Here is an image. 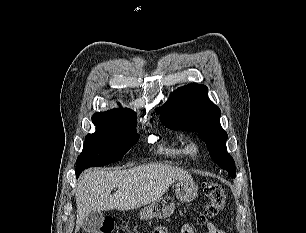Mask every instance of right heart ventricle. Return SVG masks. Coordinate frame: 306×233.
Returning a JSON list of instances; mask_svg holds the SVG:
<instances>
[{"label":"right heart ventricle","mask_w":306,"mask_h":233,"mask_svg":"<svg viewBox=\"0 0 306 233\" xmlns=\"http://www.w3.org/2000/svg\"><path fill=\"white\" fill-rule=\"evenodd\" d=\"M160 150L174 156H181L186 152V149L183 144H179L176 146H162Z\"/></svg>","instance_id":"right-heart-ventricle-1"}]
</instances>
